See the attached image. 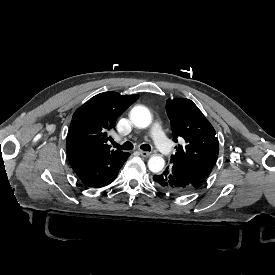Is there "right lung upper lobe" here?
<instances>
[{
  "label": "right lung upper lobe",
  "instance_id": "cb5924a9",
  "mask_svg": "<svg viewBox=\"0 0 275 275\" xmlns=\"http://www.w3.org/2000/svg\"><path fill=\"white\" fill-rule=\"evenodd\" d=\"M138 95H120L108 91L92 97L73 114L67 134L66 150L70 165L122 151L110 150L107 141L117 118L138 99Z\"/></svg>",
  "mask_w": 275,
  "mask_h": 275
}]
</instances>
